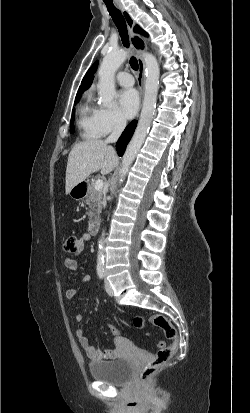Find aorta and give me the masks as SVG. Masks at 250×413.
<instances>
[{
	"instance_id": "obj_1",
	"label": "aorta",
	"mask_w": 250,
	"mask_h": 413,
	"mask_svg": "<svg viewBox=\"0 0 250 413\" xmlns=\"http://www.w3.org/2000/svg\"><path fill=\"white\" fill-rule=\"evenodd\" d=\"M127 57V51L119 50L112 51L103 58V61L98 71V88L100 95L99 101L105 107H109L112 104V100L115 96V72L122 65V63L126 60ZM143 59L145 63L146 73L143 107L135 133L122 158V165L119 172L120 183L124 181L129 167L133 163L138 151L144 143L156 107L160 75L159 65L156 58L150 53H143ZM97 261L98 264H102L104 262L103 239H100L98 242Z\"/></svg>"
}]
</instances>
